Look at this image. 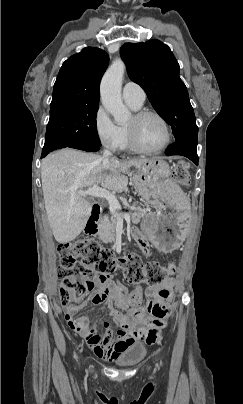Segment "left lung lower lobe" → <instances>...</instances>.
I'll return each mask as SVG.
<instances>
[{
    "instance_id": "left-lung-lower-lobe-1",
    "label": "left lung lower lobe",
    "mask_w": 243,
    "mask_h": 404,
    "mask_svg": "<svg viewBox=\"0 0 243 404\" xmlns=\"http://www.w3.org/2000/svg\"><path fill=\"white\" fill-rule=\"evenodd\" d=\"M197 141L198 140L175 141L166 150V155H182L189 158L194 164L198 165V155L196 151Z\"/></svg>"
}]
</instances>
